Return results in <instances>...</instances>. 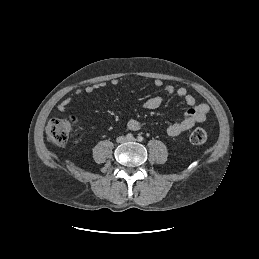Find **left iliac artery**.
<instances>
[{
  "label": "left iliac artery",
  "instance_id": "44dca946",
  "mask_svg": "<svg viewBox=\"0 0 259 259\" xmlns=\"http://www.w3.org/2000/svg\"><path fill=\"white\" fill-rule=\"evenodd\" d=\"M137 140H138L139 142H142V141L144 140V138L139 135V136L137 137Z\"/></svg>",
  "mask_w": 259,
  "mask_h": 259
}]
</instances>
